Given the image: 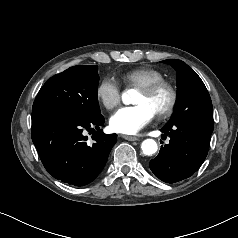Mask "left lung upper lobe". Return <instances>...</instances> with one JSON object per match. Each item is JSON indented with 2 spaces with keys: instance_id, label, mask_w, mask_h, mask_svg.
Listing matches in <instances>:
<instances>
[{
  "instance_id": "5c2ea615",
  "label": "left lung upper lobe",
  "mask_w": 238,
  "mask_h": 238,
  "mask_svg": "<svg viewBox=\"0 0 238 238\" xmlns=\"http://www.w3.org/2000/svg\"><path fill=\"white\" fill-rule=\"evenodd\" d=\"M162 62L171 65L177 75V103L167 124L186 123L213 128L212 102L201 78L181 60Z\"/></svg>"
}]
</instances>
